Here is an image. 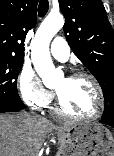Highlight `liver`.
Wrapping results in <instances>:
<instances>
[{
	"label": "liver",
	"mask_w": 114,
	"mask_h": 156,
	"mask_svg": "<svg viewBox=\"0 0 114 156\" xmlns=\"http://www.w3.org/2000/svg\"><path fill=\"white\" fill-rule=\"evenodd\" d=\"M70 127L24 112L0 114V156H36L49 132Z\"/></svg>",
	"instance_id": "liver-1"
}]
</instances>
